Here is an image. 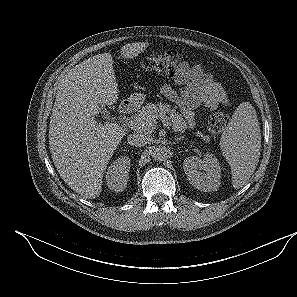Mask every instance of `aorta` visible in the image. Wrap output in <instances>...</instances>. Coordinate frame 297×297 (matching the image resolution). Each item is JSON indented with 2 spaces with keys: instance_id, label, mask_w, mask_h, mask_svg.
I'll use <instances>...</instances> for the list:
<instances>
[{
  "instance_id": "1",
  "label": "aorta",
  "mask_w": 297,
  "mask_h": 297,
  "mask_svg": "<svg viewBox=\"0 0 297 297\" xmlns=\"http://www.w3.org/2000/svg\"><path fill=\"white\" fill-rule=\"evenodd\" d=\"M169 151L165 146H156L152 150V157L157 161H163L168 157Z\"/></svg>"
}]
</instances>
